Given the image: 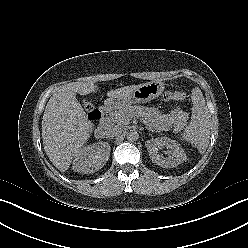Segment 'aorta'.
<instances>
[{"label": "aorta", "instance_id": "obj_1", "mask_svg": "<svg viewBox=\"0 0 248 248\" xmlns=\"http://www.w3.org/2000/svg\"><path fill=\"white\" fill-rule=\"evenodd\" d=\"M126 137H127V140H129L131 142H134V141L138 140L139 134H138V132L136 130H129L126 133Z\"/></svg>", "mask_w": 248, "mask_h": 248}]
</instances>
